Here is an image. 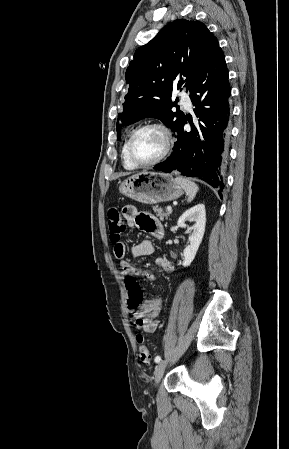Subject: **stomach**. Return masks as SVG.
<instances>
[{
    "instance_id": "0dacf381",
    "label": "stomach",
    "mask_w": 289,
    "mask_h": 449,
    "mask_svg": "<svg viewBox=\"0 0 289 449\" xmlns=\"http://www.w3.org/2000/svg\"><path fill=\"white\" fill-rule=\"evenodd\" d=\"M119 184L121 194L144 204L172 201L183 193V188L171 174L161 172H141Z\"/></svg>"
}]
</instances>
